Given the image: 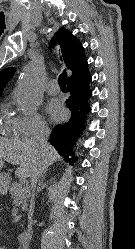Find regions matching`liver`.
Masks as SVG:
<instances>
[{
    "label": "liver",
    "mask_w": 135,
    "mask_h": 249,
    "mask_svg": "<svg viewBox=\"0 0 135 249\" xmlns=\"http://www.w3.org/2000/svg\"><path fill=\"white\" fill-rule=\"evenodd\" d=\"M13 165H19L16 175L29 178L39 166L46 170L61 157L55 148L48 144L45 150H39L32 139L9 140L0 138V159Z\"/></svg>",
    "instance_id": "liver-1"
}]
</instances>
